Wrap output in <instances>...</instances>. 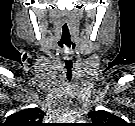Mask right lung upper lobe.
<instances>
[{"label":"right lung upper lobe","instance_id":"1","mask_svg":"<svg viewBox=\"0 0 135 126\" xmlns=\"http://www.w3.org/2000/svg\"><path fill=\"white\" fill-rule=\"evenodd\" d=\"M44 112L40 108H29L10 115L6 122L9 126H36L41 124Z\"/></svg>","mask_w":135,"mask_h":126}]
</instances>
